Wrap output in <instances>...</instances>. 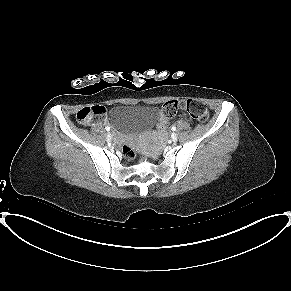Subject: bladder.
Listing matches in <instances>:
<instances>
[{"mask_svg":"<svg viewBox=\"0 0 291 291\" xmlns=\"http://www.w3.org/2000/svg\"><path fill=\"white\" fill-rule=\"evenodd\" d=\"M157 115L158 111L154 106L120 103L112 106L108 121L113 132L130 135L154 125Z\"/></svg>","mask_w":291,"mask_h":291,"instance_id":"31cf9c89","label":"bladder"}]
</instances>
